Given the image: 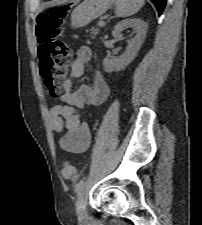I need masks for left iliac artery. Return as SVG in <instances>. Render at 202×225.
I'll return each mask as SVG.
<instances>
[{
	"label": "left iliac artery",
	"mask_w": 202,
	"mask_h": 225,
	"mask_svg": "<svg viewBox=\"0 0 202 225\" xmlns=\"http://www.w3.org/2000/svg\"><path fill=\"white\" fill-rule=\"evenodd\" d=\"M84 185H85V181L84 179L80 180L76 186H75V191L76 193L79 195L81 193V191L83 190L84 188Z\"/></svg>",
	"instance_id": "obj_1"
}]
</instances>
